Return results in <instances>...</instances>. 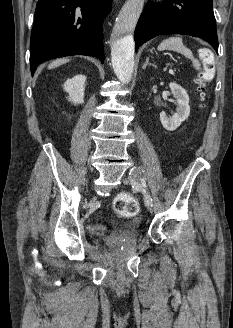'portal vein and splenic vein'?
<instances>
[{"instance_id":"18ae733b","label":"portal vein and splenic vein","mask_w":233,"mask_h":328,"mask_svg":"<svg viewBox=\"0 0 233 328\" xmlns=\"http://www.w3.org/2000/svg\"><path fill=\"white\" fill-rule=\"evenodd\" d=\"M170 74H174V71L172 69L169 70Z\"/></svg>"}]
</instances>
